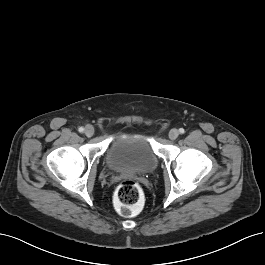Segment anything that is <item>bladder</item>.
Returning a JSON list of instances; mask_svg holds the SVG:
<instances>
[{"mask_svg":"<svg viewBox=\"0 0 265 265\" xmlns=\"http://www.w3.org/2000/svg\"><path fill=\"white\" fill-rule=\"evenodd\" d=\"M106 161L114 171L147 173L157 167L159 158L146 134L131 131L113 139Z\"/></svg>","mask_w":265,"mask_h":265,"instance_id":"bladder-1","label":"bladder"}]
</instances>
